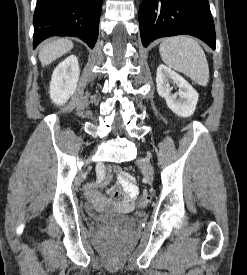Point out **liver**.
<instances>
[{
	"mask_svg": "<svg viewBox=\"0 0 247 275\" xmlns=\"http://www.w3.org/2000/svg\"><path fill=\"white\" fill-rule=\"evenodd\" d=\"M73 48V42L69 39H55L45 43L39 52V60L43 66L48 65L65 55Z\"/></svg>",
	"mask_w": 247,
	"mask_h": 275,
	"instance_id": "obj_1",
	"label": "liver"
}]
</instances>
